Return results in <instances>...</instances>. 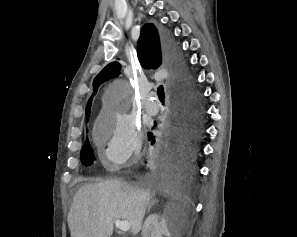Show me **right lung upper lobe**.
Listing matches in <instances>:
<instances>
[{"instance_id": "cb5924a9", "label": "right lung upper lobe", "mask_w": 297, "mask_h": 237, "mask_svg": "<svg viewBox=\"0 0 297 237\" xmlns=\"http://www.w3.org/2000/svg\"><path fill=\"white\" fill-rule=\"evenodd\" d=\"M137 53L143 67L156 68L161 65V63H167L163 36L158 33V30L153 24L148 23L142 27L141 35L138 40ZM119 73L120 64L118 62H111L95 77L93 82V95L89 99L86 107V115L88 118L93 96L96 94L100 84L110 78L117 77Z\"/></svg>"}]
</instances>
